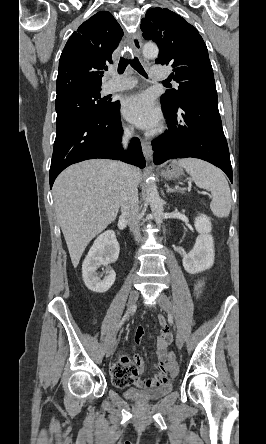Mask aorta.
Returning <instances> with one entry per match:
<instances>
[{
  "instance_id": "762f6f07",
  "label": "aorta",
  "mask_w": 266,
  "mask_h": 444,
  "mask_svg": "<svg viewBox=\"0 0 266 444\" xmlns=\"http://www.w3.org/2000/svg\"><path fill=\"white\" fill-rule=\"evenodd\" d=\"M142 52L145 58L154 59L158 56L159 49L157 45L153 43H147L143 46ZM146 193H147V200L150 203V208L155 218V221L156 223L160 224L162 223L163 220L164 209H163V201L160 198L157 191L154 175H150L148 177Z\"/></svg>"
}]
</instances>
